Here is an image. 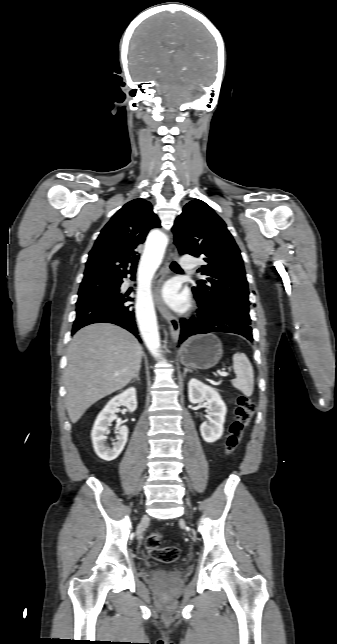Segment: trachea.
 <instances>
[{"instance_id": "obj_1", "label": "trachea", "mask_w": 337, "mask_h": 644, "mask_svg": "<svg viewBox=\"0 0 337 644\" xmlns=\"http://www.w3.org/2000/svg\"><path fill=\"white\" fill-rule=\"evenodd\" d=\"M170 267H171L172 270L182 272V269L180 268V266L176 262H172Z\"/></svg>"}]
</instances>
